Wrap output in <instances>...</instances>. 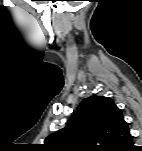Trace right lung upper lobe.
<instances>
[{
    "label": "right lung upper lobe",
    "mask_w": 142,
    "mask_h": 151,
    "mask_svg": "<svg viewBox=\"0 0 142 151\" xmlns=\"http://www.w3.org/2000/svg\"><path fill=\"white\" fill-rule=\"evenodd\" d=\"M131 140L114 101L93 95L80 103L63 129L46 138L44 147L49 151H118Z\"/></svg>",
    "instance_id": "obj_1"
}]
</instances>
